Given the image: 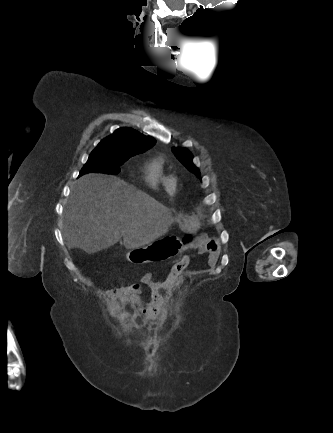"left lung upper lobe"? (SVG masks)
<instances>
[{"label":"left lung upper lobe","instance_id":"obj_1","mask_svg":"<svg viewBox=\"0 0 333 433\" xmlns=\"http://www.w3.org/2000/svg\"><path fill=\"white\" fill-rule=\"evenodd\" d=\"M173 153L179 159V161L192 173L197 176H200L198 169L192 162L191 153L185 148H172Z\"/></svg>","mask_w":333,"mask_h":433}]
</instances>
